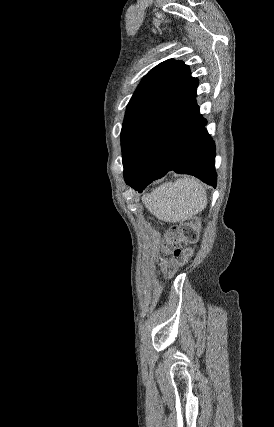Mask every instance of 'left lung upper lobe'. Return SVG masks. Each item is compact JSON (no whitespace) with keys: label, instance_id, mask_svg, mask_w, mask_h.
<instances>
[{"label":"left lung upper lobe","instance_id":"1","mask_svg":"<svg viewBox=\"0 0 274 427\" xmlns=\"http://www.w3.org/2000/svg\"><path fill=\"white\" fill-rule=\"evenodd\" d=\"M194 80L189 67L174 59L160 63L142 79L127 106L122 125L124 175L134 165L149 129Z\"/></svg>","mask_w":274,"mask_h":427}]
</instances>
